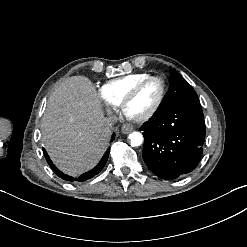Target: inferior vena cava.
<instances>
[{"instance_id":"obj_1","label":"inferior vena cava","mask_w":247,"mask_h":247,"mask_svg":"<svg viewBox=\"0 0 247 247\" xmlns=\"http://www.w3.org/2000/svg\"><path fill=\"white\" fill-rule=\"evenodd\" d=\"M105 121L110 126V129H114L113 125L118 121V117L115 114H109Z\"/></svg>"}]
</instances>
